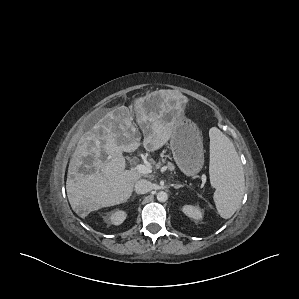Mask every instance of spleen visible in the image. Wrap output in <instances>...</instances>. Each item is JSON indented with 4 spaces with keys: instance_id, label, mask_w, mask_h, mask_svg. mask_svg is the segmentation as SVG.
Returning a JSON list of instances; mask_svg holds the SVG:
<instances>
[{
    "instance_id": "1",
    "label": "spleen",
    "mask_w": 299,
    "mask_h": 299,
    "mask_svg": "<svg viewBox=\"0 0 299 299\" xmlns=\"http://www.w3.org/2000/svg\"><path fill=\"white\" fill-rule=\"evenodd\" d=\"M211 185L219 215L229 219L238 209L245 188L242 164L232 141L218 128L209 130Z\"/></svg>"
}]
</instances>
